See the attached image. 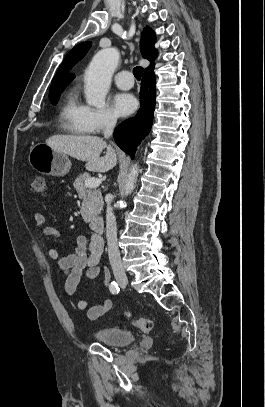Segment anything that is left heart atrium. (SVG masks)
<instances>
[{"label": "left heart atrium", "mask_w": 265, "mask_h": 407, "mask_svg": "<svg viewBox=\"0 0 265 407\" xmlns=\"http://www.w3.org/2000/svg\"><path fill=\"white\" fill-rule=\"evenodd\" d=\"M113 106L120 116H127L136 109L137 101L131 94L118 93L113 98Z\"/></svg>", "instance_id": "obj_1"}]
</instances>
